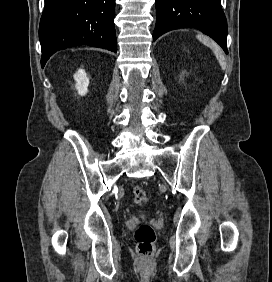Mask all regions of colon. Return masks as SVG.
<instances>
[{
  "label": "colon",
  "mask_w": 272,
  "mask_h": 282,
  "mask_svg": "<svg viewBox=\"0 0 272 282\" xmlns=\"http://www.w3.org/2000/svg\"><path fill=\"white\" fill-rule=\"evenodd\" d=\"M133 195L137 203L141 204L147 200L145 191L138 185L133 187ZM134 238L136 241V249L141 259L144 261L150 260L154 254V230L147 224H141L135 230Z\"/></svg>",
  "instance_id": "1"
}]
</instances>
